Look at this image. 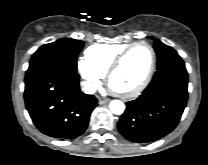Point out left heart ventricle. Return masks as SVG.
I'll use <instances>...</instances> for the list:
<instances>
[{
	"instance_id": "b2bd125f",
	"label": "left heart ventricle",
	"mask_w": 208,
	"mask_h": 165,
	"mask_svg": "<svg viewBox=\"0 0 208 165\" xmlns=\"http://www.w3.org/2000/svg\"><path fill=\"white\" fill-rule=\"evenodd\" d=\"M151 62V52L146 46L134 48L125 58L112 78V85L120 90H129L141 83Z\"/></svg>"
}]
</instances>
